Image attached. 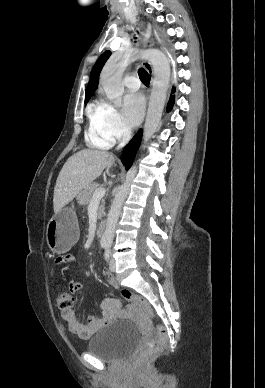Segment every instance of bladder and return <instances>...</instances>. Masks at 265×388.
I'll list each match as a JSON object with an SVG mask.
<instances>
[{"mask_svg": "<svg viewBox=\"0 0 265 388\" xmlns=\"http://www.w3.org/2000/svg\"><path fill=\"white\" fill-rule=\"evenodd\" d=\"M137 336L138 330L132 322L111 323L91 338L87 351L104 361H118L134 346Z\"/></svg>", "mask_w": 265, "mask_h": 388, "instance_id": "obj_1", "label": "bladder"}]
</instances>
